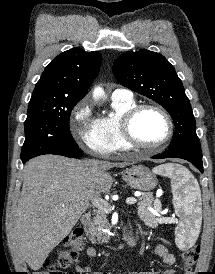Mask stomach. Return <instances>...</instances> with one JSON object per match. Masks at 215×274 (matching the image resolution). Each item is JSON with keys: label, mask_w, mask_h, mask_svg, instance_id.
Here are the masks:
<instances>
[{"label": "stomach", "mask_w": 215, "mask_h": 274, "mask_svg": "<svg viewBox=\"0 0 215 274\" xmlns=\"http://www.w3.org/2000/svg\"><path fill=\"white\" fill-rule=\"evenodd\" d=\"M122 178L129 186L139 191L153 190L158 183L155 174L143 165H133L126 169Z\"/></svg>", "instance_id": "0dacf381"}]
</instances>
